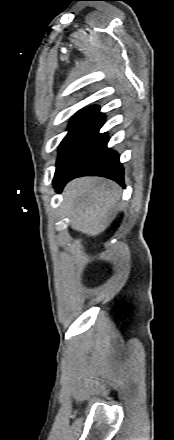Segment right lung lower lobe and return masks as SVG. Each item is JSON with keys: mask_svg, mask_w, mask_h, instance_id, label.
Segmentation results:
<instances>
[{"mask_svg": "<svg viewBox=\"0 0 174 440\" xmlns=\"http://www.w3.org/2000/svg\"><path fill=\"white\" fill-rule=\"evenodd\" d=\"M104 121V114L98 113L95 130L78 164L71 173L54 183L57 192H61L68 181L80 176H102L125 187L124 169L120 163L119 155L107 148V134L99 133Z\"/></svg>", "mask_w": 174, "mask_h": 440, "instance_id": "98d812e1", "label": "right lung lower lobe"}]
</instances>
